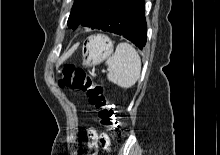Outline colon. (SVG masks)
<instances>
[{"instance_id": "colon-1", "label": "colon", "mask_w": 220, "mask_h": 155, "mask_svg": "<svg viewBox=\"0 0 220 155\" xmlns=\"http://www.w3.org/2000/svg\"><path fill=\"white\" fill-rule=\"evenodd\" d=\"M62 77L59 80L61 87H68L75 91L83 92L87 95L88 102L93 107L98 115L100 124L110 131H120L122 126V116L114 109L108 102L104 95L103 88L96 84L91 77H89L84 70L74 65H66L62 69ZM99 141L103 147L108 145L106 136H101ZM94 144L90 145L94 148ZM90 155H95L94 153Z\"/></svg>"}]
</instances>
